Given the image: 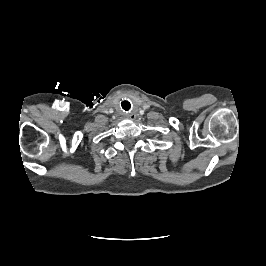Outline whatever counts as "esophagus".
<instances>
[{"label": "esophagus", "instance_id": "obj_1", "mask_svg": "<svg viewBox=\"0 0 266 266\" xmlns=\"http://www.w3.org/2000/svg\"><path fill=\"white\" fill-rule=\"evenodd\" d=\"M135 117H136V116H135V115H133V114H132V115H130V118H131V119H134Z\"/></svg>", "mask_w": 266, "mask_h": 266}]
</instances>
